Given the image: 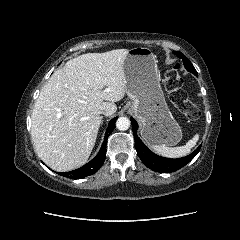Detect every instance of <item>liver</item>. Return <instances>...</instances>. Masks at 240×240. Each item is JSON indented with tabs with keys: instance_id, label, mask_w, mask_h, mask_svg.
Listing matches in <instances>:
<instances>
[{
	"instance_id": "liver-1",
	"label": "liver",
	"mask_w": 240,
	"mask_h": 240,
	"mask_svg": "<svg viewBox=\"0 0 240 240\" xmlns=\"http://www.w3.org/2000/svg\"><path fill=\"white\" fill-rule=\"evenodd\" d=\"M128 49L87 53L66 62L41 89L32 112L31 138L50 168L70 171L84 165L102 123L126 93Z\"/></svg>"
}]
</instances>
